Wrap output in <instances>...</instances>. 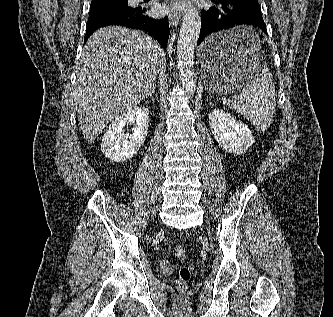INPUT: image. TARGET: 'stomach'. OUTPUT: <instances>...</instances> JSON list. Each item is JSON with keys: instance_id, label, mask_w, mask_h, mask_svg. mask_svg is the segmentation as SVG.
<instances>
[{"instance_id": "0dacf381", "label": "stomach", "mask_w": 333, "mask_h": 317, "mask_svg": "<svg viewBox=\"0 0 333 317\" xmlns=\"http://www.w3.org/2000/svg\"><path fill=\"white\" fill-rule=\"evenodd\" d=\"M257 29L251 24H232V29H217V33H206V41L200 49L203 62V81L212 95H226L252 81V74H263L266 62H260V43Z\"/></svg>"}]
</instances>
